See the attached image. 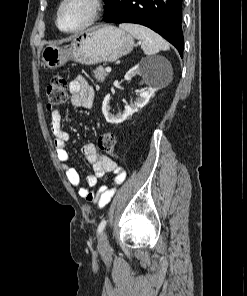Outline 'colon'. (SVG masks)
<instances>
[{
    "mask_svg": "<svg viewBox=\"0 0 247 296\" xmlns=\"http://www.w3.org/2000/svg\"><path fill=\"white\" fill-rule=\"evenodd\" d=\"M67 81L64 76H54L46 88L47 108L55 109L66 102ZM98 147L101 151L109 156L116 154V139L114 134L106 132L100 135L98 139Z\"/></svg>",
    "mask_w": 247,
    "mask_h": 296,
    "instance_id": "obj_1",
    "label": "colon"
}]
</instances>
